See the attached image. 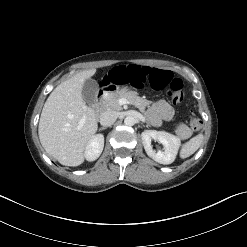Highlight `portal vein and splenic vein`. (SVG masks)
<instances>
[{
    "label": "portal vein and splenic vein",
    "instance_id": "18ae733b",
    "mask_svg": "<svg viewBox=\"0 0 247 247\" xmlns=\"http://www.w3.org/2000/svg\"><path fill=\"white\" fill-rule=\"evenodd\" d=\"M85 123V116L81 119L80 125H83Z\"/></svg>",
    "mask_w": 247,
    "mask_h": 247
}]
</instances>
